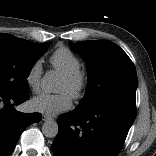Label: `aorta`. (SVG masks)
<instances>
[{"label":"aorta","instance_id":"762f6f07","mask_svg":"<svg viewBox=\"0 0 156 156\" xmlns=\"http://www.w3.org/2000/svg\"><path fill=\"white\" fill-rule=\"evenodd\" d=\"M41 87L45 92L51 93L55 90L56 80L52 72H48L41 80ZM58 124L50 119L46 120L42 125V133L47 138H54L58 133Z\"/></svg>","mask_w":156,"mask_h":156}]
</instances>
